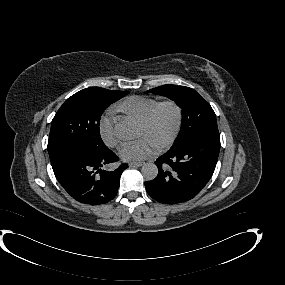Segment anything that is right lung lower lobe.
<instances>
[{
  "mask_svg": "<svg viewBox=\"0 0 285 285\" xmlns=\"http://www.w3.org/2000/svg\"><path fill=\"white\" fill-rule=\"evenodd\" d=\"M50 160L57 180L66 191L79 202L94 205L107 203L115 197L120 176L128 167L125 163L115 171L103 170V165L118 161L110 149L101 155L68 149Z\"/></svg>",
  "mask_w": 285,
  "mask_h": 285,
  "instance_id": "right-lung-lower-lobe-1",
  "label": "right lung lower lobe"
}]
</instances>
